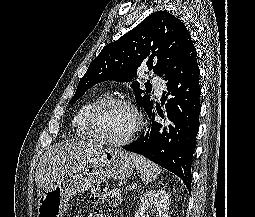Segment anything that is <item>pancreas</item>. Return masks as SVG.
Masks as SVG:
<instances>
[{"label":"pancreas","instance_id":"cf45deb5","mask_svg":"<svg viewBox=\"0 0 255 217\" xmlns=\"http://www.w3.org/2000/svg\"><path fill=\"white\" fill-rule=\"evenodd\" d=\"M126 182L123 180V181H119V185L122 186L123 184H125Z\"/></svg>","mask_w":255,"mask_h":217}]
</instances>
